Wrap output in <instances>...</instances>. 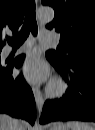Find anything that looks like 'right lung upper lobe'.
I'll use <instances>...</instances> for the list:
<instances>
[{"mask_svg":"<svg viewBox=\"0 0 95 130\" xmlns=\"http://www.w3.org/2000/svg\"><path fill=\"white\" fill-rule=\"evenodd\" d=\"M28 0H0V51L6 31L13 34L23 22Z\"/></svg>","mask_w":95,"mask_h":130,"instance_id":"right-lung-upper-lobe-1","label":"right lung upper lobe"}]
</instances>
